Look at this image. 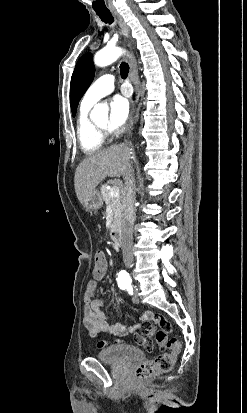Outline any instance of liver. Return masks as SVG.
<instances>
[{
    "mask_svg": "<svg viewBox=\"0 0 247 413\" xmlns=\"http://www.w3.org/2000/svg\"><path fill=\"white\" fill-rule=\"evenodd\" d=\"M130 148L127 144H111L102 150L88 154L75 170L74 186L78 200L84 202L89 192L105 176H121L129 160Z\"/></svg>",
    "mask_w": 247,
    "mask_h": 413,
    "instance_id": "liver-1",
    "label": "liver"
}]
</instances>
